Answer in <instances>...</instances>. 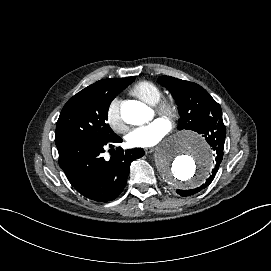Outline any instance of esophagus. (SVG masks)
I'll return each instance as SVG.
<instances>
[{
  "instance_id": "34e87169",
  "label": "esophagus",
  "mask_w": 271,
  "mask_h": 271,
  "mask_svg": "<svg viewBox=\"0 0 271 271\" xmlns=\"http://www.w3.org/2000/svg\"><path fill=\"white\" fill-rule=\"evenodd\" d=\"M144 150H145L146 154H150V153L154 152L156 150V148L155 147H148V148H145Z\"/></svg>"
}]
</instances>
